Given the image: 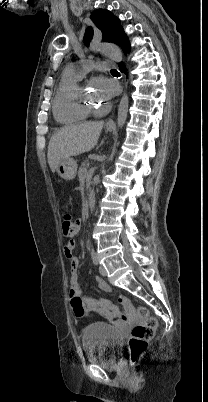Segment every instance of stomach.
Here are the masks:
<instances>
[{
  "label": "stomach",
  "instance_id": "1",
  "mask_svg": "<svg viewBox=\"0 0 208 402\" xmlns=\"http://www.w3.org/2000/svg\"><path fill=\"white\" fill-rule=\"evenodd\" d=\"M107 130L108 132H112L113 128H107ZM56 172L63 180H73L76 176L77 164L73 158H66V160H62L58 164Z\"/></svg>",
  "mask_w": 208,
  "mask_h": 402
}]
</instances>
